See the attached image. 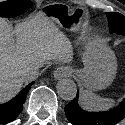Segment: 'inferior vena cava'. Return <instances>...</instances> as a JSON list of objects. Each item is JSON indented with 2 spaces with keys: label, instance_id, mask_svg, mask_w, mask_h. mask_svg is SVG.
Here are the masks:
<instances>
[{
  "label": "inferior vena cava",
  "instance_id": "inferior-vena-cava-1",
  "mask_svg": "<svg viewBox=\"0 0 125 125\" xmlns=\"http://www.w3.org/2000/svg\"><path fill=\"white\" fill-rule=\"evenodd\" d=\"M39 67H32L28 70H26L23 74H22V79H24L25 81H30V80H34L39 76Z\"/></svg>",
  "mask_w": 125,
  "mask_h": 125
}]
</instances>
